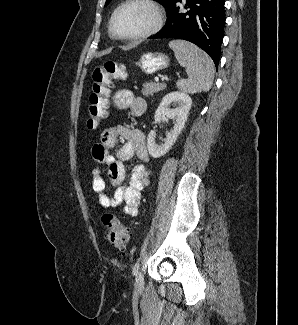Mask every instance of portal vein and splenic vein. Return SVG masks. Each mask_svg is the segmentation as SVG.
Masks as SVG:
<instances>
[{"instance_id":"18ae733b","label":"portal vein and splenic vein","mask_w":298,"mask_h":325,"mask_svg":"<svg viewBox=\"0 0 298 325\" xmlns=\"http://www.w3.org/2000/svg\"><path fill=\"white\" fill-rule=\"evenodd\" d=\"M154 80H159V76H155Z\"/></svg>"}]
</instances>
